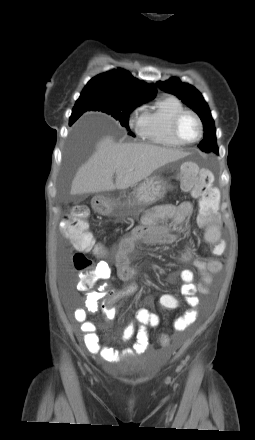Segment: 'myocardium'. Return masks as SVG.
Masks as SVG:
<instances>
[{
    "instance_id": "obj_1",
    "label": "myocardium",
    "mask_w": 255,
    "mask_h": 440,
    "mask_svg": "<svg viewBox=\"0 0 255 440\" xmlns=\"http://www.w3.org/2000/svg\"><path fill=\"white\" fill-rule=\"evenodd\" d=\"M186 115L192 116L198 125V136L196 137V139H194L192 141L184 140L179 133L180 122ZM171 130H172V134H173L174 138L181 145H193V144L197 143L202 138L203 132H204L203 122H202L200 116L196 112H194L193 110H189V109H184L176 114V116L174 117V119L172 121Z\"/></svg>"
}]
</instances>
